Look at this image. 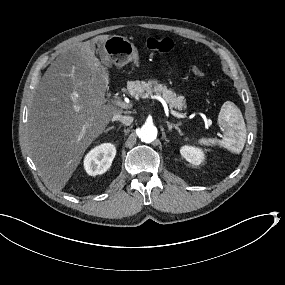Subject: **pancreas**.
<instances>
[{
	"label": "pancreas",
	"instance_id": "1",
	"mask_svg": "<svg viewBox=\"0 0 285 285\" xmlns=\"http://www.w3.org/2000/svg\"><path fill=\"white\" fill-rule=\"evenodd\" d=\"M126 89L133 97H135L137 94L139 97H142L144 94L141 92L143 91H146L148 94L160 92L161 94H164V97L169 103L170 107L178 110H183L187 107L184 96H177L174 92L167 90L163 85L158 84L156 80H150L148 82L137 80L135 82L127 83Z\"/></svg>",
	"mask_w": 285,
	"mask_h": 285
}]
</instances>
